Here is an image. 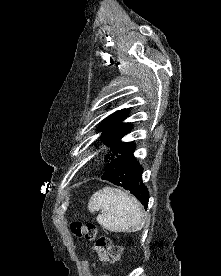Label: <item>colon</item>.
<instances>
[{"instance_id": "5ec220e1", "label": "colon", "mask_w": 221, "mask_h": 276, "mask_svg": "<svg viewBox=\"0 0 221 276\" xmlns=\"http://www.w3.org/2000/svg\"><path fill=\"white\" fill-rule=\"evenodd\" d=\"M71 231L78 238L94 241L96 248L104 250L108 254L111 263L120 260L122 247L114 244L109 237L100 235L94 223L74 221L71 223Z\"/></svg>"}]
</instances>
